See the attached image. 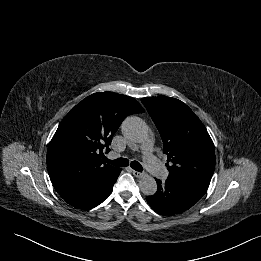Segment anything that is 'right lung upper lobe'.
I'll use <instances>...</instances> for the list:
<instances>
[{
	"instance_id": "1",
	"label": "right lung upper lobe",
	"mask_w": 261,
	"mask_h": 261,
	"mask_svg": "<svg viewBox=\"0 0 261 261\" xmlns=\"http://www.w3.org/2000/svg\"><path fill=\"white\" fill-rule=\"evenodd\" d=\"M132 97L97 92L82 100L64 117L47 152L50 179L61 197L92 189L118 170L101 160L122 121L143 113Z\"/></svg>"
}]
</instances>
